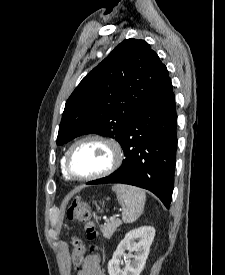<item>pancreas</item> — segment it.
I'll return each instance as SVG.
<instances>
[{"label": "pancreas", "mask_w": 225, "mask_h": 275, "mask_svg": "<svg viewBox=\"0 0 225 275\" xmlns=\"http://www.w3.org/2000/svg\"><path fill=\"white\" fill-rule=\"evenodd\" d=\"M120 225L121 221L119 219L107 222L106 224L101 226V232L105 238L110 239L113 233L116 231L117 227H119Z\"/></svg>", "instance_id": "pancreas-1"}]
</instances>
